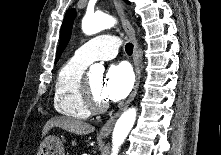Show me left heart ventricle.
<instances>
[{
	"instance_id": "obj_1",
	"label": "left heart ventricle",
	"mask_w": 221,
	"mask_h": 155,
	"mask_svg": "<svg viewBox=\"0 0 221 155\" xmlns=\"http://www.w3.org/2000/svg\"><path fill=\"white\" fill-rule=\"evenodd\" d=\"M87 81H88L95 97L99 101H105V99L102 97V94H101V88H102V82H103L102 77L101 76H93V77L87 78Z\"/></svg>"
}]
</instances>
